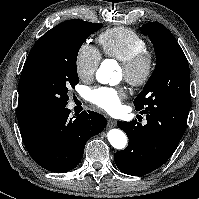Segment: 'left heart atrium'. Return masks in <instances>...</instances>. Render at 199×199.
Wrapping results in <instances>:
<instances>
[{
  "instance_id": "left-heart-atrium-1",
  "label": "left heart atrium",
  "mask_w": 199,
  "mask_h": 199,
  "mask_svg": "<svg viewBox=\"0 0 199 199\" xmlns=\"http://www.w3.org/2000/svg\"><path fill=\"white\" fill-rule=\"evenodd\" d=\"M122 97L123 93L120 90L112 88L95 89L90 94V99L95 105L111 114L120 110Z\"/></svg>"
}]
</instances>
